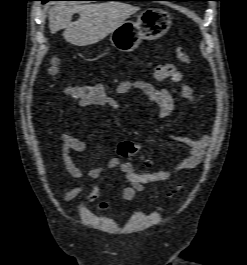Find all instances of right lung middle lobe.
<instances>
[{
    "instance_id": "1",
    "label": "right lung middle lobe",
    "mask_w": 247,
    "mask_h": 265,
    "mask_svg": "<svg viewBox=\"0 0 247 265\" xmlns=\"http://www.w3.org/2000/svg\"><path fill=\"white\" fill-rule=\"evenodd\" d=\"M43 3H46L47 1H50V0H41ZM96 1H110V0H96ZM118 1H122V0H118Z\"/></svg>"
}]
</instances>
